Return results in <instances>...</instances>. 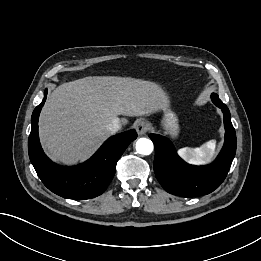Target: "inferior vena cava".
I'll return each instance as SVG.
<instances>
[{
    "label": "inferior vena cava",
    "mask_w": 261,
    "mask_h": 261,
    "mask_svg": "<svg viewBox=\"0 0 261 261\" xmlns=\"http://www.w3.org/2000/svg\"><path fill=\"white\" fill-rule=\"evenodd\" d=\"M121 121L119 118L113 119L110 123L107 124L106 128L111 133H116L121 129Z\"/></svg>",
    "instance_id": "1"
}]
</instances>
